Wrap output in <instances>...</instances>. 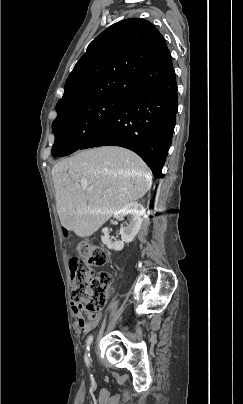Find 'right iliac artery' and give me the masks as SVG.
<instances>
[{"instance_id":"right-iliac-artery-1","label":"right iliac artery","mask_w":243,"mask_h":404,"mask_svg":"<svg viewBox=\"0 0 243 404\" xmlns=\"http://www.w3.org/2000/svg\"><path fill=\"white\" fill-rule=\"evenodd\" d=\"M92 341H93V336L91 335V336L88 337V339L86 341L87 342V348H86V353L84 355L85 363H86L87 366H89V364H90L89 346L92 343Z\"/></svg>"}]
</instances>
